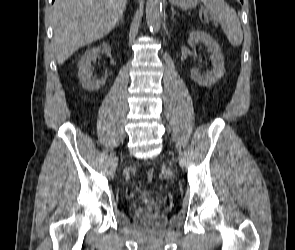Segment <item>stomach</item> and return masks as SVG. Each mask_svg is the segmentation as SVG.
<instances>
[{"instance_id": "0dacf381", "label": "stomach", "mask_w": 295, "mask_h": 250, "mask_svg": "<svg viewBox=\"0 0 295 250\" xmlns=\"http://www.w3.org/2000/svg\"><path fill=\"white\" fill-rule=\"evenodd\" d=\"M198 0H170V3L182 9H191L197 5Z\"/></svg>"}]
</instances>
